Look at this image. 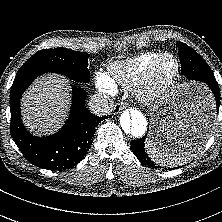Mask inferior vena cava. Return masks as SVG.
<instances>
[{"label": "inferior vena cava", "mask_w": 222, "mask_h": 222, "mask_svg": "<svg viewBox=\"0 0 222 222\" xmlns=\"http://www.w3.org/2000/svg\"><path fill=\"white\" fill-rule=\"evenodd\" d=\"M88 105L90 111L99 116L108 115L113 109L112 99L102 94L93 95Z\"/></svg>", "instance_id": "inferior-vena-cava-1"}]
</instances>
